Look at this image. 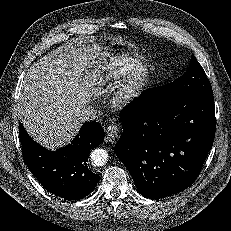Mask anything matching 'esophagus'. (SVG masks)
<instances>
[{"instance_id":"obj_1","label":"esophagus","mask_w":231,"mask_h":231,"mask_svg":"<svg viewBox=\"0 0 231 231\" xmlns=\"http://www.w3.org/2000/svg\"><path fill=\"white\" fill-rule=\"evenodd\" d=\"M120 128L116 124H111L106 128V134L108 137L115 138L118 136Z\"/></svg>"}]
</instances>
